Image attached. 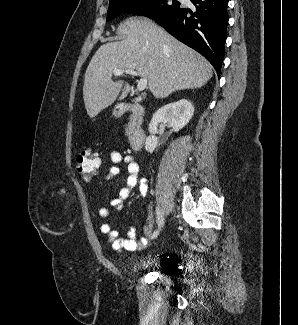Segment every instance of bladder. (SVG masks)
<instances>
[{
  "mask_svg": "<svg viewBox=\"0 0 298 325\" xmlns=\"http://www.w3.org/2000/svg\"><path fill=\"white\" fill-rule=\"evenodd\" d=\"M152 267V262L147 260L132 267L131 271L135 274L146 271Z\"/></svg>",
  "mask_w": 298,
  "mask_h": 325,
  "instance_id": "31cf9c89",
  "label": "bladder"
}]
</instances>
